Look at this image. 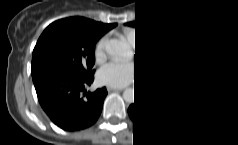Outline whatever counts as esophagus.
I'll list each match as a JSON object with an SVG mask.
<instances>
[{"label": "esophagus", "mask_w": 238, "mask_h": 145, "mask_svg": "<svg viewBox=\"0 0 238 145\" xmlns=\"http://www.w3.org/2000/svg\"><path fill=\"white\" fill-rule=\"evenodd\" d=\"M107 90L110 91H122L123 88H114V87H108Z\"/></svg>", "instance_id": "obj_1"}]
</instances>
